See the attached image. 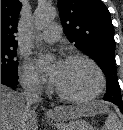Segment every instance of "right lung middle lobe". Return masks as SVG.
Listing matches in <instances>:
<instances>
[{
    "label": "right lung middle lobe",
    "instance_id": "1",
    "mask_svg": "<svg viewBox=\"0 0 123 130\" xmlns=\"http://www.w3.org/2000/svg\"><path fill=\"white\" fill-rule=\"evenodd\" d=\"M17 47L1 46V74L18 78V61L14 59Z\"/></svg>",
    "mask_w": 123,
    "mask_h": 130
}]
</instances>
